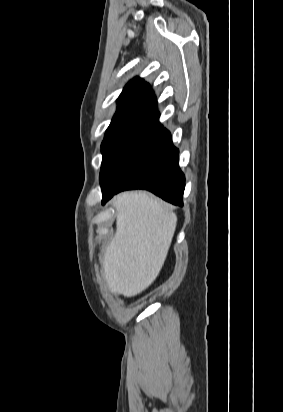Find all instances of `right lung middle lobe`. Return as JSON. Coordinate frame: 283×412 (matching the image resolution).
<instances>
[{"mask_svg": "<svg viewBox=\"0 0 283 412\" xmlns=\"http://www.w3.org/2000/svg\"><path fill=\"white\" fill-rule=\"evenodd\" d=\"M159 115H124L114 117L102 142V180L117 164L134 149L144 134L157 122Z\"/></svg>", "mask_w": 283, "mask_h": 412, "instance_id": "1", "label": "right lung middle lobe"}]
</instances>
